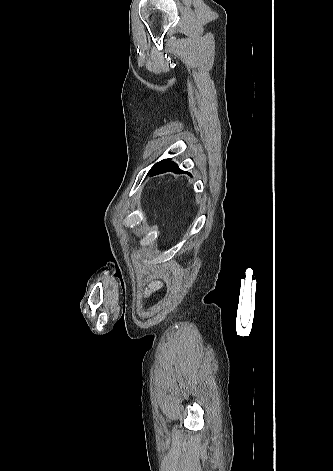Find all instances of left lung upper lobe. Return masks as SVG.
Here are the masks:
<instances>
[{
  "label": "left lung upper lobe",
  "instance_id": "5c2ea615",
  "mask_svg": "<svg viewBox=\"0 0 333 471\" xmlns=\"http://www.w3.org/2000/svg\"><path fill=\"white\" fill-rule=\"evenodd\" d=\"M169 162H170V159H164V160H161L160 162H157L151 169L150 171L148 172V174L150 176H154V175H157V174H162V173H165L167 172V168H168V165H169Z\"/></svg>",
  "mask_w": 333,
  "mask_h": 471
}]
</instances>
